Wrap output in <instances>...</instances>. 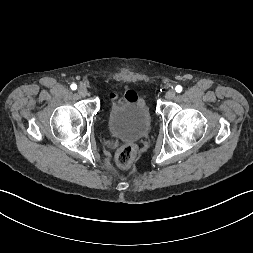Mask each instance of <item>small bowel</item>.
Listing matches in <instances>:
<instances>
[{"instance_id":"obj_1","label":"small bowel","mask_w":253,"mask_h":253,"mask_svg":"<svg viewBox=\"0 0 253 253\" xmlns=\"http://www.w3.org/2000/svg\"><path fill=\"white\" fill-rule=\"evenodd\" d=\"M110 97L114 98V97H116V95L111 94ZM121 98H123L125 100H140V97L137 94V92H135L133 90H126Z\"/></svg>"}]
</instances>
